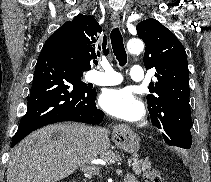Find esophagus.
I'll return each instance as SVG.
<instances>
[{
	"mask_svg": "<svg viewBox=\"0 0 211 182\" xmlns=\"http://www.w3.org/2000/svg\"><path fill=\"white\" fill-rule=\"evenodd\" d=\"M111 21H112V24L114 26L118 25L120 23V14L118 11H114L111 15ZM122 130H125V128L123 126H117L115 128V131L118 132V131H122Z\"/></svg>",
	"mask_w": 211,
	"mask_h": 182,
	"instance_id": "1",
	"label": "esophagus"
}]
</instances>
